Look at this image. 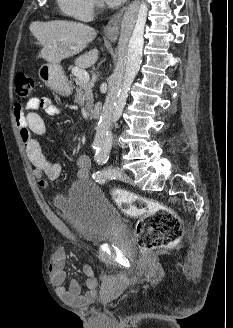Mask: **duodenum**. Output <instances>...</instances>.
<instances>
[{
	"instance_id": "duodenum-1",
	"label": "duodenum",
	"mask_w": 233,
	"mask_h": 328,
	"mask_svg": "<svg viewBox=\"0 0 233 328\" xmlns=\"http://www.w3.org/2000/svg\"><path fill=\"white\" fill-rule=\"evenodd\" d=\"M102 105L100 103L96 104L94 110L92 111V118L95 119L99 116Z\"/></svg>"
}]
</instances>
